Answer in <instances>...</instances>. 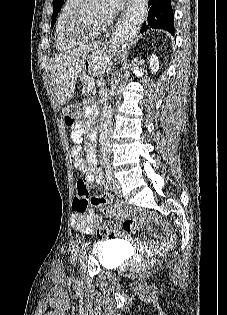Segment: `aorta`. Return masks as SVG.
Here are the masks:
<instances>
[{
	"mask_svg": "<svg viewBox=\"0 0 227 315\" xmlns=\"http://www.w3.org/2000/svg\"><path fill=\"white\" fill-rule=\"evenodd\" d=\"M135 31L134 26L130 22H123L114 32L112 37V45L114 49L125 45L132 37ZM112 131V105L105 104L99 127V143L100 151L104 161L109 160L110 148V135Z\"/></svg>",
	"mask_w": 227,
	"mask_h": 315,
	"instance_id": "obj_1",
	"label": "aorta"
}]
</instances>
